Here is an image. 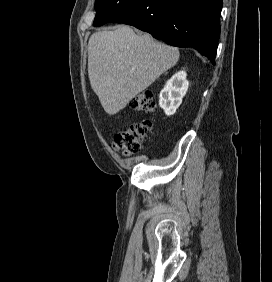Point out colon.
<instances>
[{
    "label": "colon",
    "instance_id": "1",
    "mask_svg": "<svg viewBox=\"0 0 272 282\" xmlns=\"http://www.w3.org/2000/svg\"><path fill=\"white\" fill-rule=\"evenodd\" d=\"M130 108L136 112L151 113L156 105L151 93H144L136 96L130 103ZM152 128L151 121H138L129 124L124 129L116 132L112 139V148L122 152L125 156L137 154L144 139Z\"/></svg>",
    "mask_w": 272,
    "mask_h": 282
}]
</instances>
